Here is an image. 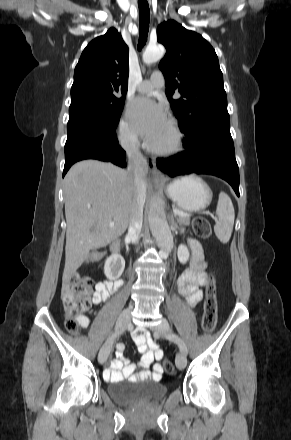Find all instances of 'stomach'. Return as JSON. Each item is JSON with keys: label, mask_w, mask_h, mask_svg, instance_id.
Returning <instances> with one entry per match:
<instances>
[{"label": "stomach", "mask_w": 291, "mask_h": 440, "mask_svg": "<svg viewBox=\"0 0 291 440\" xmlns=\"http://www.w3.org/2000/svg\"><path fill=\"white\" fill-rule=\"evenodd\" d=\"M164 190L180 209L188 212L205 209L210 205L213 196L207 183L195 175L176 179Z\"/></svg>", "instance_id": "0dacf381"}]
</instances>
